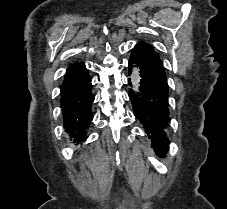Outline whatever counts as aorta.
I'll return each instance as SVG.
<instances>
[{
  "mask_svg": "<svg viewBox=\"0 0 227 209\" xmlns=\"http://www.w3.org/2000/svg\"><path fill=\"white\" fill-rule=\"evenodd\" d=\"M139 70L136 68L133 70V73L131 74V80L133 82V88L135 89V91H139V86H140V75H139Z\"/></svg>",
  "mask_w": 227,
  "mask_h": 209,
  "instance_id": "762f6f07",
  "label": "aorta"
}]
</instances>
